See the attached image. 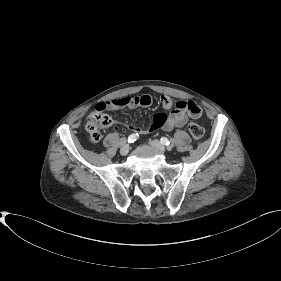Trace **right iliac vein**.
I'll list each match as a JSON object with an SVG mask.
<instances>
[{"label": "right iliac vein", "mask_w": 281, "mask_h": 281, "mask_svg": "<svg viewBox=\"0 0 281 281\" xmlns=\"http://www.w3.org/2000/svg\"><path fill=\"white\" fill-rule=\"evenodd\" d=\"M129 149H130L129 144H123L122 147L120 148V154L123 156L127 155L129 152Z\"/></svg>", "instance_id": "right-iliac-vein-1"}]
</instances>
